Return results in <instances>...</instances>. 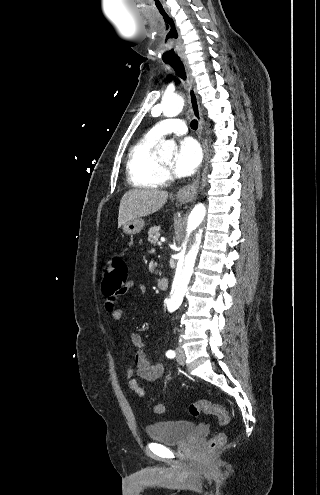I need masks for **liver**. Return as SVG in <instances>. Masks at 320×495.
I'll list each match as a JSON object with an SVG mask.
<instances>
[{
  "label": "liver",
  "mask_w": 320,
  "mask_h": 495,
  "mask_svg": "<svg viewBox=\"0 0 320 495\" xmlns=\"http://www.w3.org/2000/svg\"><path fill=\"white\" fill-rule=\"evenodd\" d=\"M167 199L168 193L157 189H133L126 192L120 201L118 228L130 220L155 213Z\"/></svg>",
  "instance_id": "liver-1"
}]
</instances>
